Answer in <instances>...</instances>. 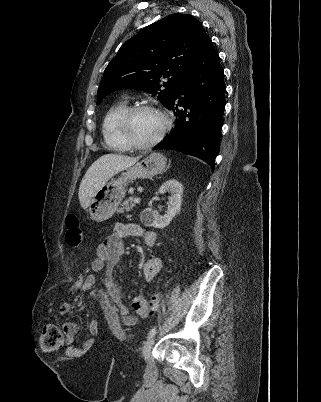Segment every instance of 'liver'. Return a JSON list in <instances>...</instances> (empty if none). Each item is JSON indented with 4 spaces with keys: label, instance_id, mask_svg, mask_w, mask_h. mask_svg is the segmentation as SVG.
<instances>
[{
    "label": "liver",
    "instance_id": "liver-1",
    "mask_svg": "<svg viewBox=\"0 0 321 402\" xmlns=\"http://www.w3.org/2000/svg\"><path fill=\"white\" fill-rule=\"evenodd\" d=\"M140 157L119 154H105L92 163L85 173L79 187V201L86 209L90 199L115 174L134 165Z\"/></svg>",
    "mask_w": 321,
    "mask_h": 402
}]
</instances>
